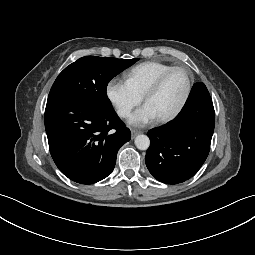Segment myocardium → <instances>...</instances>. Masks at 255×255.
<instances>
[{
	"mask_svg": "<svg viewBox=\"0 0 255 255\" xmlns=\"http://www.w3.org/2000/svg\"><path fill=\"white\" fill-rule=\"evenodd\" d=\"M176 70H181L186 74L187 88H186L185 94H184L182 100L180 101L179 105L171 113H169L165 116H162V117H158L159 121H161V122H167V121L173 120L183 110L184 106L186 105V103L190 97L191 91H192L193 81H192L191 73L189 72V70L187 68H185L183 66H173L170 69L163 72L144 94V100H145V102H147L148 99L152 95H154L161 89L162 85L164 84V82L168 78V76Z\"/></svg>",
	"mask_w": 255,
	"mask_h": 255,
	"instance_id": "1",
	"label": "myocardium"
}]
</instances>
